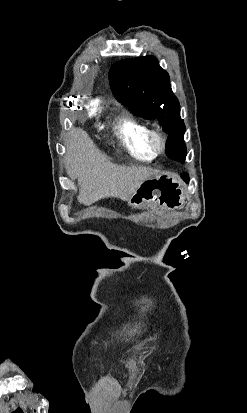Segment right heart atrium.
Returning a JSON list of instances; mask_svg holds the SVG:
<instances>
[{
  "label": "right heart atrium",
  "mask_w": 247,
  "mask_h": 413,
  "mask_svg": "<svg viewBox=\"0 0 247 413\" xmlns=\"http://www.w3.org/2000/svg\"><path fill=\"white\" fill-rule=\"evenodd\" d=\"M102 107V102L100 100H93L91 105L86 107V112L90 118H95L97 116V111Z\"/></svg>",
  "instance_id": "1"
}]
</instances>
